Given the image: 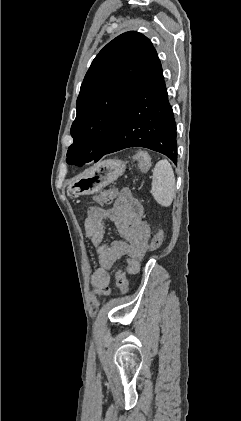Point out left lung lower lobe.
I'll use <instances>...</instances> for the list:
<instances>
[{
    "instance_id": "left-lung-lower-lobe-1",
    "label": "left lung lower lobe",
    "mask_w": 241,
    "mask_h": 421,
    "mask_svg": "<svg viewBox=\"0 0 241 421\" xmlns=\"http://www.w3.org/2000/svg\"><path fill=\"white\" fill-rule=\"evenodd\" d=\"M176 136V123L168 101L161 63L154 50L136 86L118 133L105 154L129 147H144L166 155L176 164ZM86 162L76 165L82 166Z\"/></svg>"
}]
</instances>
